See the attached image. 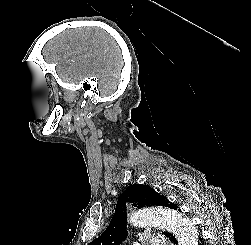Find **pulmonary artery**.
Returning <instances> with one entry per match:
<instances>
[{"instance_id": "e3ab8cb5", "label": "pulmonary artery", "mask_w": 251, "mask_h": 245, "mask_svg": "<svg viewBox=\"0 0 251 245\" xmlns=\"http://www.w3.org/2000/svg\"><path fill=\"white\" fill-rule=\"evenodd\" d=\"M147 244L150 245H168L167 241L164 237L152 236L149 238V242Z\"/></svg>"}]
</instances>
